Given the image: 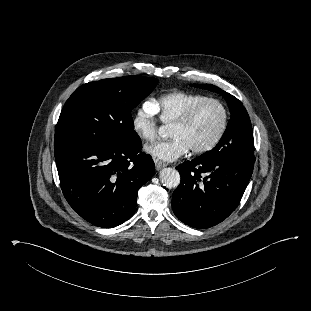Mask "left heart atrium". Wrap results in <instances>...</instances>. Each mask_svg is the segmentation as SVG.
<instances>
[{"mask_svg":"<svg viewBox=\"0 0 311 311\" xmlns=\"http://www.w3.org/2000/svg\"><path fill=\"white\" fill-rule=\"evenodd\" d=\"M190 150L188 144L181 138L159 141L146 147V152L156 160L175 161Z\"/></svg>","mask_w":311,"mask_h":311,"instance_id":"39dd6f15","label":"left heart atrium"}]
</instances>
